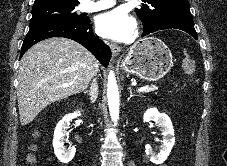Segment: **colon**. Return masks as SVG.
<instances>
[{"instance_id": "1", "label": "colon", "mask_w": 227, "mask_h": 166, "mask_svg": "<svg viewBox=\"0 0 227 166\" xmlns=\"http://www.w3.org/2000/svg\"><path fill=\"white\" fill-rule=\"evenodd\" d=\"M181 65L186 73L191 74L194 71L193 59L188 55L184 54L181 58Z\"/></svg>"}]
</instances>
